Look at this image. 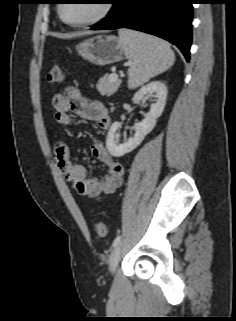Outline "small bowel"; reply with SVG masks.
Wrapping results in <instances>:
<instances>
[{
  "mask_svg": "<svg viewBox=\"0 0 236 321\" xmlns=\"http://www.w3.org/2000/svg\"><path fill=\"white\" fill-rule=\"evenodd\" d=\"M52 107L55 120L64 126L75 125V116L95 122L102 130L110 126L105 105L97 100L86 99L73 86L68 87L64 94L55 95ZM54 152L59 169L70 181L73 191L80 196L100 199L114 193L122 182L123 165L114 159L101 141L91 146L92 155L107 167V173L101 179L88 178L86 168L73 162L70 149L63 141H55Z\"/></svg>",
  "mask_w": 236,
  "mask_h": 321,
  "instance_id": "small-bowel-1",
  "label": "small bowel"
}]
</instances>
